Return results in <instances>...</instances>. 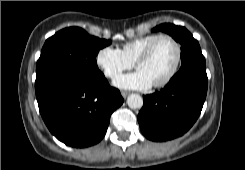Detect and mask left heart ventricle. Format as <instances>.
<instances>
[{
    "instance_id": "left-heart-ventricle-1",
    "label": "left heart ventricle",
    "mask_w": 245,
    "mask_h": 170,
    "mask_svg": "<svg viewBox=\"0 0 245 170\" xmlns=\"http://www.w3.org/2000/svg\"><path fill=\"white\" fill-rule=\"evenodd\" d=\"M176 50L168 39H162L156 43L150 56L138 65L151 81H161L172 69L175 62Z\"/></svg>"
}]
</instances>
